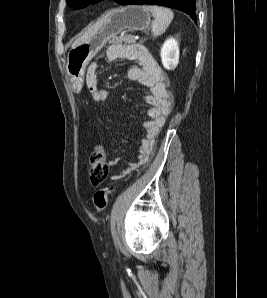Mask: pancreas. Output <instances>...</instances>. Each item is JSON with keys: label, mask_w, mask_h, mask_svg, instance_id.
I'll return each mask as SVG.
<instances>
[{"label": "pancreas", "mask_w": 267, "mask_h": 298, "mask_svg": "<svg viewBox=\"0 0 267 298\" xmlns=\"http://www.w3.org/2000/svg\"><path fill=\"white\" fill-rule=\"evenodd\" d=\"M119 42H124L125 44L135 43V39L132 35H124L118 38Z\"/></svg>", "instance_id": "obj_1"}]
</instances>
